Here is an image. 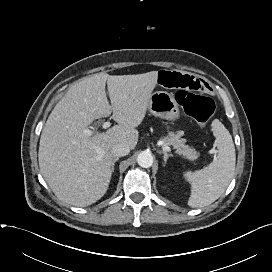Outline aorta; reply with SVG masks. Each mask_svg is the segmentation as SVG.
<instances>
[{"label":"aorta","mask_w":272,"mask_h":272,"mask_svg":"<svg viewBox=\"0 0 272 272\" xmlns=\"http://www.w3.org/2000/svg\"><path fill=\"white\" fill-rule=\"evenodd\" d=\"M137 162L143 168H150L153 165V156L150 152L143 151L139 153Z\"/></svg>","instance_id":"1"}]
</instances>
